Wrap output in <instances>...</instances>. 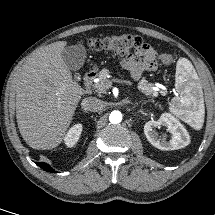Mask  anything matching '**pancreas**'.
Instances as JSON below:
<instances>
[{
	"label": "pancreas",
	"instance_id": "pancreas-1",
	"mask_svg": "<svg viewBox=\"0 0 215 215\" xmlns=\"http://www.w3.org/2000/svg\"><path fill=\"white\" fill-rule=\"evenodd\" d=\"M109 70L107 68H104L100 71L99 73V77H98V81H96L94 84H93V87H94V90L96 92H99V93H105L106 92V89L110 83V80H109ZM138 89L146 94V95H155L156 92L153 90V85L148 83L147 80L145 79H142L139 83H138Z\"/></svg>",
	"mask_w": 215,
	"mask_h": 215
}]
</instances>
